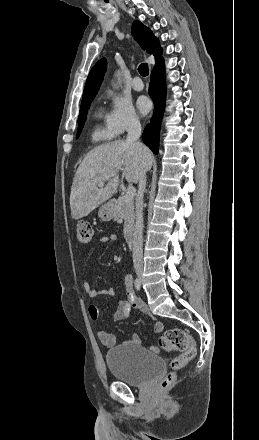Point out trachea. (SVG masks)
Returning <instances> with one entry per match:
<instances>
[{
  "instance_id": "trachea-1",
  "label": "trachea",
  "mask_w": 259,
  "mask_h": 440,
  "mask_svg": "<svg viewBox=\"0 0 259 440\" xmlns=\"http://www.w3.org/2000/svg\"><path fill=\"white\" fill-rule=\"evenodd\" d=\"M138 71H139V73H140V75L141 76H147L148 75V65L146 64V63H143V64H141L139 67H138Z\"/></svg>"
}]
</instances>
